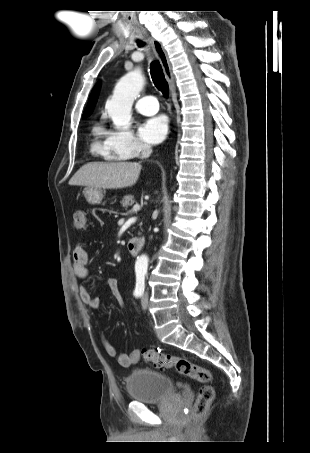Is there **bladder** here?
Instances as JSON below:
<instances>
[{
    "label": "bladder",
    "instance_id": "1",
    "mask_svg": "<svg viewBox=\"0 0 310 453\" xmlns=\"http://www.w3.org/2000/svg\"><path fill=\"white\" fill-rule=\"evenodd\" d=\"M126 390L135 402L156 403L172 396L174 385L171 378L163 373L136 369L126 378Z\"/></svg>",
    "mask_w": 310,
    "mask_h": 453
}]
</instances>
